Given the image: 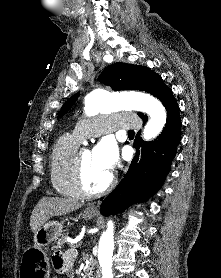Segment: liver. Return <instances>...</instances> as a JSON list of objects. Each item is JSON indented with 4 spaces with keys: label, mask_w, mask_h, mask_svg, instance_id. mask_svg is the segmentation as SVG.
Segmentation results:
<instances>
[{
    "label": "liver",
    "mask_w": 221,
    "mask_h": 278,
    "mask_svg": "<svg viewBox=\"0 0 221 278\" xmlns=\"http://www.w3.org/2000/svg\"><path fill=\"white\" fill-rule=\"evenodd\" d=\"M81 206V203L70 198L43 197L35 206L30 217L32 232L35 233L51 217L66 215Z\"/></svg>",
    "instance_id": "liver-1"
}]
</instances>
